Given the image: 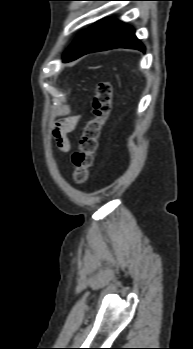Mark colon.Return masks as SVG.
Listing matches in <instances>:
<instances>
[{
  "label": "colon",
  "instance_id": "colon-1",
  "mask_svg": "<svg viewBox=\"0 0 193 349\" xmlns=\"http://www.w3.org/2000/svg\"><path fill=\"white\" fill-rule=\"evenodd\" d=\"M112 95L110 82L101 81L97 84L92 102L93 116L87 122L79 140L78 149L72 155L73 180L76 184H83L88 179L102 126L112 110Z\"/></svg>",
  "mask_w": 193,
  "mask_h": 349
}]
</instances>
